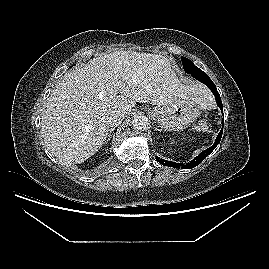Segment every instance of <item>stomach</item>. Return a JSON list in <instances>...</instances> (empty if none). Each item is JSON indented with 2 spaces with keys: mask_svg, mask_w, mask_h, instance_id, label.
Wrapping results in <instances>:
<instances>
[{
  "mask_svg": "<svg viewBox=\"0 0 269 269\" xmlns=\"http://www.w3.org/2000/svg\"><path fill=\"white\" fill-rule=\"evenodd\" d=\"M202 107L192 98L173 102L162 107L148 108L149 115L161 130L182 131L201 114Z\"/></svg>",
  "mask_w": 269,
  "mask_h": 269,
  "instance_id": "1",
  "label": "stomach"
}]
</instances>
